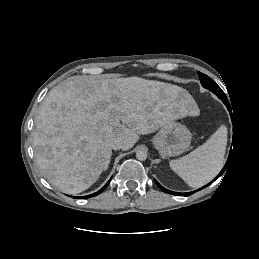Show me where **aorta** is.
Returning a JSON list of instances; mask_svg holds the SVG:
<instances>
[{"label": "aorta", "mask_w": 259, "mask_h": 259, "mask_svg": "<svg viewBox=\"0 0 259 259\" xmlns=\"http://www.w3.org/2000/svg\"><path fill=\"white\" fill-rule=\"evenodd\" d=\"M136 158L140 161H144L147 158V153L144 150H138L136 152Z\"/></svg>", "instance_id": "1"}]
</instances>
